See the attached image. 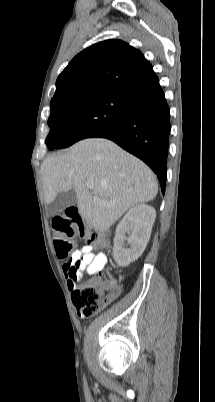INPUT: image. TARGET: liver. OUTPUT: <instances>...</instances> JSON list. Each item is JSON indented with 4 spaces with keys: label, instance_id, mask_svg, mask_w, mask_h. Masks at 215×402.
<instances>
[{
    "label": "liver",
    "instance_id": "6515ba94",
    "mask_svg": "<svg viewBox=\"0 0 215 402\" xmlns=\"http://www.w3.org/2000/svg\"><path fill=\"white\" fill-rule=\"evenodd\" d=\"M40 172L45 202L73 189L81 218L100 232L129 208L153 200L158 192L151 169L107 139L79 141L67 152L46 158Z\"/></svg>",
    "mask_w": 215,
    "mask_h": 402
}]
</instances>
